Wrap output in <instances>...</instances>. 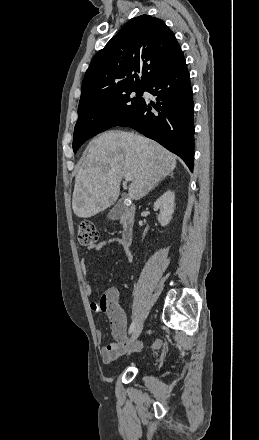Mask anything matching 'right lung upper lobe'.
<instances>
[{
    "label": "right lung upper lobe",
    "mask_w": 259,
    "mask_h": 440,
    "mask_svg": "<svg viewBox=\"0 0 259 440\" xmlns=\"http://www.w3.org/2000/svg\"><path fill=\"white\" fill-rule=\"evenodd\" d=\"M182 54L173 32L161 19L149 15L131 19L93 57L82 82L78 109L122 90L147 88L157 73Z\"/></svg>",
    "instance_id": "cb5924a9"
}]
</instances>
